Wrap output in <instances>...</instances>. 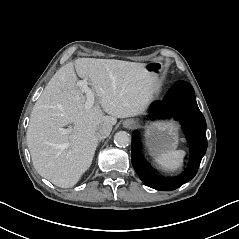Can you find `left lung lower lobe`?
Returning <instances> with one entry per match:
<instances>
[{
  "instance_id": "obj_1",
  "label": "left lung lower lobe",
  "mask_w": 239,
  "mask_h": 239,
  "mask_svg": "<svg viewBox=\"0 0 239 239\" xmlns=\"http://www.w3.org/2000/svg\"><path fill=\"white\" fill-rule=\"evenodd\" d=\"M174 117L180 120L190 144V161L187 169L179 176L160 177L149 172L140 160L136 136L132 137V165L142 182L162 191L174 190L190 181L197 173L207 149L206 121L200 112L194 89L190 83L178 81L170 88L163 101H156L150 107V117Z\"/></svg>"
}]
</instances>
